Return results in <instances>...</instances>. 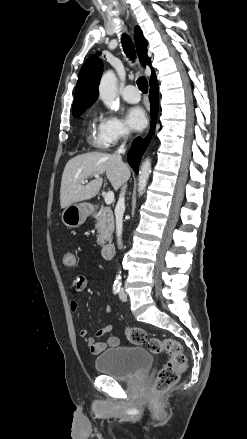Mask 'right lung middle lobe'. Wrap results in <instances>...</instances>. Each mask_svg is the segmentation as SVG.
<instances>
[{
    "instance_id": "right-lung-middle-lobe-1",
    "label": "right lung middle lobe",
    "mask_w": 247,
    "mask_h": 439,
    "mask_svg": "<svg viewBox=\"0 0 247 439\" xmlns=\"http://www.w3.org/2000/svg\"><path fill=\"white\" fill-rule=\"evenodd\" d=\"M85 110H86V109L81 110V111H78V112L74 113L73 116H74V117H78V116H80Z\"/></svg>"
}]
</instances>
